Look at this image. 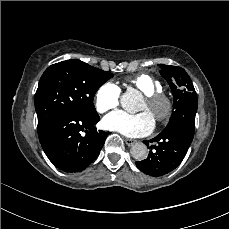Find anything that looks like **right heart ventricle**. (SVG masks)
Masks as SVG:
<instances>
[{"label":"right heart ventricle","mask_w":229,"mask_h":229,"mask_svg":"<svg viewBox=\"0 0 229 229\" xmlns=\"http://www.w3.org/2000/svg\"><path fill=\"white\" fill-rule=\"evenodd\" d=\"M126 81L144 94L162 89L161 82L147 73H140L132 77H128Z\"/></svg>","instance_id":"right-heart-ventricle-1"}]
</instances>
